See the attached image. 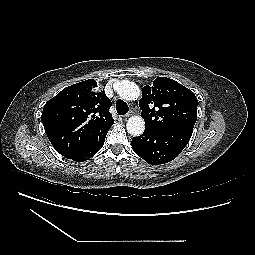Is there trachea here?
<instances>
[{"label":"trachea","mask_w":255,"mask_h":255,"mask_svg":"<svg viewBox=\"0 0 255 255\" xmlns=\"http://www.w3.org/2000/svg\"><path fill=\"white\" fill-rule=\"evenodd\" d=\"M116 111L119 115H124V114L128 113L129 107H128L127 103L124 102L123 100H118L116 102Z\"/></svg>","instance_id":"trachea-1"}]
</instances>
